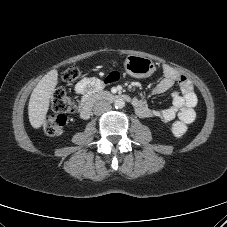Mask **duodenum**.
Wrapping results in <instances>:
<instances>
[{
  "mask_svg": "<svg viewBox=\"0 0 227 227\" xmlns=\"http://www.w3.org/2000/svg\"><path fill=\"white\" fill-rule=\"evenodd\" d=\"M118 99L128 100V97L121 94H114L110 92H95L87 96L82 103L80 108V116L83 119L90 117L93 106L98 102H114Z\"/></svg>",
  "mask_w": 227,
  "mask_h": 227,
  "instance_id": "410a0bca",
  "label": "duodenum"
}]
</instances>
